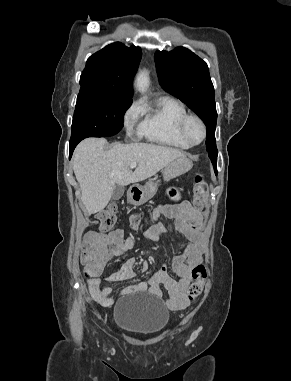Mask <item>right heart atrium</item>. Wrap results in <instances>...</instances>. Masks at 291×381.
<instances>
[{
  "label": "right heart atrium",
  "mask_w": 291,
  "mask_h": 381,
  "mask_svg": "<svg viewBox=\"0 0 291 381\" xmlns=\"http://www.w3.org/2000/svg\"><path fill=\"white\" fill-rule=\"evenodd\" d=\"M140 117V107L134 102L125 111L123 115V124L128 133L132 132L138 123Z\"/></svg>",
  "instance_id": "d8ad5b80"
}]
</instances>
